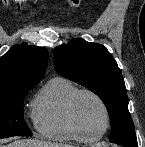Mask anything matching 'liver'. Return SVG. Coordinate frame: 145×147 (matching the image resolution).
I'll return each mask as SVG.
<instances>
[{"mask_svg": "<svg viewBox=\"0 0 145 147\" xmlns=\"http://www.w3.org/2000/svg\"><path fill=\"white\" fill-rule=\"evenodd\" d=\"M3 147H73L66 144L51 143L39 140H16Z\"/></svg>", "mask_w": 145, "mask_h": 147, "instance_id": "6515ba94", "label": "liver"}]
</instances>
